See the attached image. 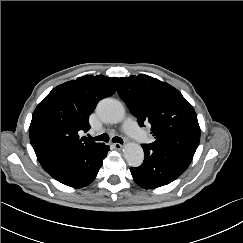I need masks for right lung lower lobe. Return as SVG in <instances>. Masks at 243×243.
<instances>
[{
	"label": "right lung lower lobe",
	"instance_id": "98d812e1",
	"mask_svg": "<svg viewBox=\"0 0 243 243\" xmlns=\"http://www.w3.org/2000/svg\"><path fill=\"white\" fill-rule=\"evenodd\" d=\"M109 150V146L100 144L88 151L56 155L40 164L57 181L81 188L95 179Z\"/></svg>",
	"mask_w": 243,
	"mask_h": 243
}]
</instances>
